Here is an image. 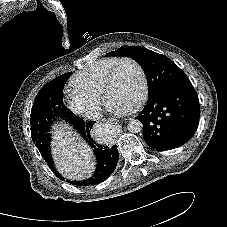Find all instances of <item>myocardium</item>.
Here are the masks:
<instances>
[{"mask_svg": "<svg viewBox=\"0 0 227 227\" xmlns=\"http://www.w3.org/2000/svg\"><path fill=\"white\" fill-rule=\"evenodd\" d=\"M124 63H131L133 64L137 70L139 71L140 77H141V89H140V93L137 97V99L135 100V102L131 105L130 109H135L137 108L146 98L147 93H148V77L146 74L145 69L143 68V66L134 58L131 57H122L120 58L110 69L104 84H103V89H102V99L103 101L108 104V95L110 92V89L113 86L114 80L116 78L117 72L119 70V68L121 67L122 64Z\"/></svg>", "mask_w": 227, "mask_h": 227, "instance_id": "1", "label": "myocardium"}]
</instances>
